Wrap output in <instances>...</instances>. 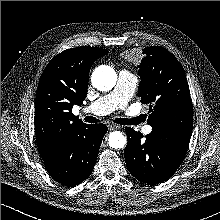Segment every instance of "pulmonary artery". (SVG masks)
<instances>
[{
    "label": "pulmonary artery",
    "mask_w": 220,
    "mask_h": 220,
    "mask_svg": "<svg viewBox=\"0 0 220 220\" xmlns=\"http://www.w3.org/2000/svg\"><path fill=\"white\" fill-rule=\"evenodd\" d=\"M137 77L129 71H120L114 89L99 97L87 107V112L96 116H103L124 108L132 98L137 87ZM152 127L145 125L144 133H151Z\"/></svg>",
    "instance_id": "obj_1"
}]
</instances>
